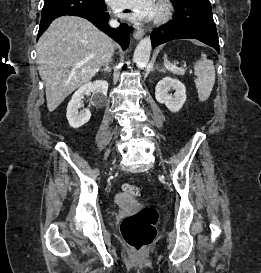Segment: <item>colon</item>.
I'll list each match as a JSON object with an SVG mask.
<instances>
[{"instance_id":"5ec220e1","label":"colon","mask_w":261,"mask_h":273,"mask_svg":"<svg viewBox=\"0 0 261 273\" xmlns=\"http://www.w3.org/2000/svg\"><path fill=\"white\" fill-rule=\"evenodd\" d=\"M122 192L125 196L134 197L140 188L133 184H124ZM158 214L153 208H143L125 217L120 226L121 236L134 251L141 252L148 247L156 236Z\"/></svg>"}]
</instances>
